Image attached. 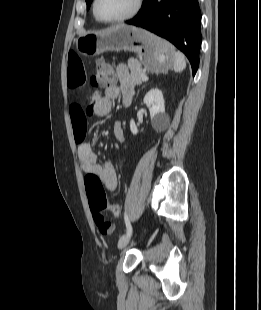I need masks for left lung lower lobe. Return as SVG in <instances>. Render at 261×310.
I'll list each match as a JSON object with an SVG mask.
<instances>
[{"label":"left lung lower lobe","instance_id":"0a47b994","mask_svg":"<svg viewBox=\"0 0 261 310\" xmlns=\"http://www.w3.org/2000/svg\"><path fill=\"white\" fill-rule=\"evenodd\" d=\"M126 23L143 27L173 43L187 56L195 75L201 47L198 0H143L136 17Z\"/></svg>","mask_w":261,"mask_h":310}]
</instances>
